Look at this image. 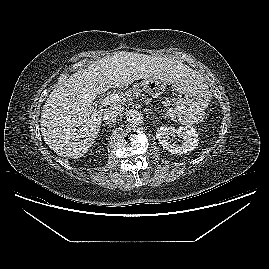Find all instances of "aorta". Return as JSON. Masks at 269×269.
<instances>
[{
  "label": "aorta",
  "mask_w": 269,
  "mask_h": 269,
  "mask_svg": "<svg viewBox=\"0 0 269 269\" xmlns=\"http://www.w3.org/2000/svg\"><path fill=\"white\" fill-rule=\"evenodd\" d=\"M126 120L131 124H139L143 121V115L138 110H129L126 113Z\"/></svg>",
  "instance_id": "obj_1"
}]
</instances>
